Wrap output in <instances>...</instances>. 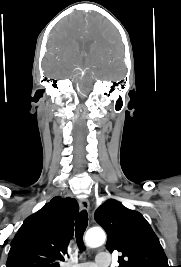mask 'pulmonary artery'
I'll return each instance as SVG.
<instances>
[{
	"instance_id": "e3ab8cb5",
	"label": "pulmonary artery",
	"mask_w": 181,
	"mask_h": 267,
	"mask_svg": "<svg viewBox=\"0 0 181 267\" xmlns=\"http://www.w3.org/2000/svg\"><path fill=\"white\" fill-rule=\"evenodd\" d=\"M111 263L110 258L106 256L105 252H100L97 255L95 262H84L74 265L72 267H108Z\"/></svg>"
}]
</instances>
